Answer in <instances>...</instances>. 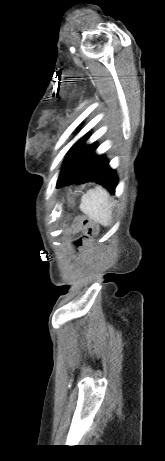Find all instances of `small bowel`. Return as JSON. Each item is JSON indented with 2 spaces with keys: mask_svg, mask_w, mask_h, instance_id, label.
<instances>
[{
  "mask_svg": "<svg viewBox=\"0 0 165 461\" xmlns=\"http://www.w3.org/2000/svg\"><path fill=\"white\" fill-rule=\"evenodd\" d=\"M86 233L88 234L89 232L87 231ZM86 239V234H73L72 240L70 242H67V245L65 246V251L69 253V255L71 256L69 258L71 261H75L77 259L75 256L84 255V248H80L79 242H85Z\"/></svg>",
  "mask_w": 165,
  "mask_h": 461,
  "instance_id": "small-bowel-1",
  "label": "small bowel"
}]
</instances>
